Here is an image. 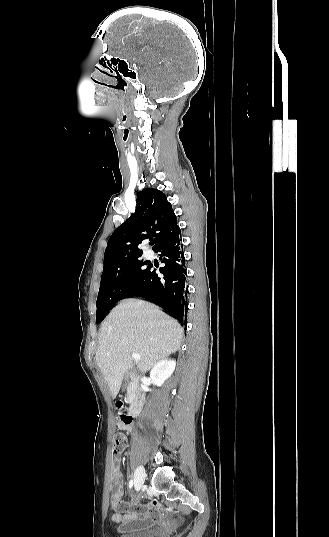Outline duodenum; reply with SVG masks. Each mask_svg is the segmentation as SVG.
Instances as JSON below:
<instances>
[{
  "label": "duodenum",
  "instance_id": "duodenum-1",
  "mask_svg": "<svg viewBox=\"0 0 329 537\" xmlns=\"http://www.w3.org/2000/svg\"><path fill=\"white\" fill-rule=\"evenodd\" d=\"M145 401V391L140 377L132 378V393L130 399L129 414L136 417L142 410Z\"/></svg>",
  "mask_w": 329,
  "mask_h": 537
}]
</instances>
